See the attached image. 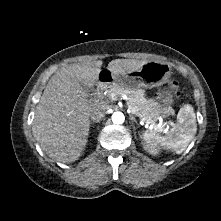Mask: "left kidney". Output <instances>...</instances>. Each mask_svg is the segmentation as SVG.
I'll use <instances>...</instances> for the list:
<instances>
[{"label": "left kidney", "mask_w": 221, "mask_h": 221, "mask_svg": "<svg viewBox=\"0 0 221 221\" xmlns=\"http://www.w3.org/2000/svg\"><path fill=\"white\" fill-rule=\"evenodd\" d=\"M146 150H149L150 153L152 154H156L157 153V149L153 148V147H144Z\"/></svg>", "instance_id": "1"}]
</instances>
